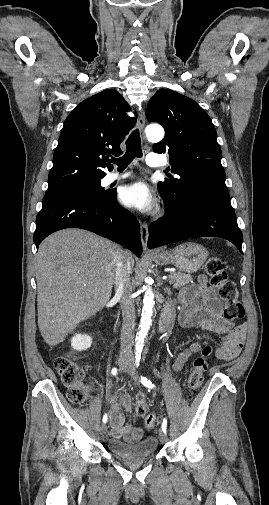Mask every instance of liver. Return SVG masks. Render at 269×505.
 Returning <instances> with one entry per match:
<instances>
[{
	"label": "liver",
	"instance_id": "obj_1",
	"mask_svg": "<svg viewBox=\"0 0 269 505\" xmlns=\"http://www.w3.org/2000/svg\"><path fill=\"white\" fill-rule=\"evenodd\" d=\"M118 248L81 229L58 231L40 244L35 264L38 327L48 345L63 342L109 301ZM124 252L131 273L134 257Z\"/></svg>",
	"mask_w": 269,
	"mask_h": 505
}]
</instances>
